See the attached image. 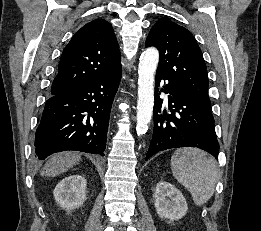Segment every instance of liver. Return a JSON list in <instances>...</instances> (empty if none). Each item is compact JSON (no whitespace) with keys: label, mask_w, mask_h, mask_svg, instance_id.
Returning <instances> with one entry per match:
<instances>
[{"label":"liver","mask_w":261,"mask_h":231,"mask_svg":"<svg viewBox=\"0 0 261 231\" xmlns=\"http://www.w3.org/2000/svg\"><path fill=\"white\" fill-rule=\"evenodd\" d=\"M81 160V156L74 152H64L51 156L41 171L42 176L54 177L66 172Z\"/></svg>","instance_id":"6515ba94"}]
</instances>
